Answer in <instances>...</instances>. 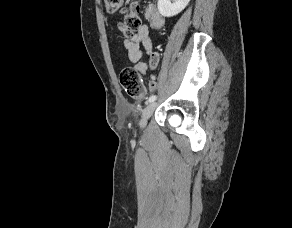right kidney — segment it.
I'll return each mask as SVG.
<instances>
[{"label": "right kidney", "instance_id": "1", "mask_svg": "<svg viewBox=\"0 0 292 228\" xmlns=\"http://www.w3.org/2000/svg\"><path fill=\"white\" fill-rule=\"evenodd\" d=\"M190 0H176L171 3L170 0H158V10L164 17H172L180 13L188 5Z\"/></svg>", "mask_w": 292, "mask_h": 228}]
</instances>
